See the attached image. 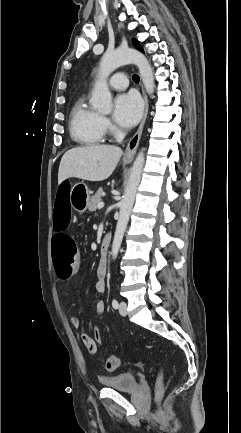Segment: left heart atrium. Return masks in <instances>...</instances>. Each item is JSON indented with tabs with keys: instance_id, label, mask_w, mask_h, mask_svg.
<instances>
[{
	"instance_id": "39dd6f15",
	"label": "left heart atrium",
	"mask_w": 241,
	"mask_h": 433,
	"mask_svg": "<svg viewBox=\"0 0 241 433\" xmlns=\"http://www.w3.org/2000/svg\"><path fill=\"white\" fill-rule=\"evenodd\" d=\"M142 110V100L137 93H123L114 101L113 117L120 126L129 128L139 121Z\"/></svg>"
}]
</instances>
